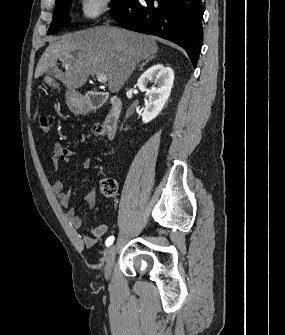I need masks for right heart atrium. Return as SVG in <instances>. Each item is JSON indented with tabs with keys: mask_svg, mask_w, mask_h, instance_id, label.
Listing matches in <instances>:
<instances>
[{
	"mask_svg": "<svg viewBox=\"0 0 285 335\" xmlns=\"http://www.w3.org/2000/svg\"><path fill=\"white\" fill-rule=\"evenodd\" d=\"M107 3L105 1H84L78 10V16L83 21L96 19L105 10Z\"/></svg>",
	"mask_w": 285,
	"mask_h": 335,
	"instance_id": "d8ad5b80",
	"label": "right heart atrium"
}]
</instances>
